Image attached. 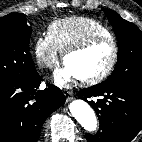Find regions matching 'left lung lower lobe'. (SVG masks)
Returning <instances> with one entry per match:
<instances>
[{
  "mask_svg": "<svg viewBox=\"0 0 142 142\" xmlns=\"http://www.w3.org/2000/svg\"><path fill=\"white\" fill-rule=\"evenodd\" d=\"M96 111L100 127L88 142H130L142 128V83L97 84L79 92ZM99 97L97 101L87 98Z\"/></svg>",
  "mask_w": 142,
  "mask_h": 142,
  "instance_id": "0a47b994",
  "label": "left lung lower lobe"
}]
</instances>
